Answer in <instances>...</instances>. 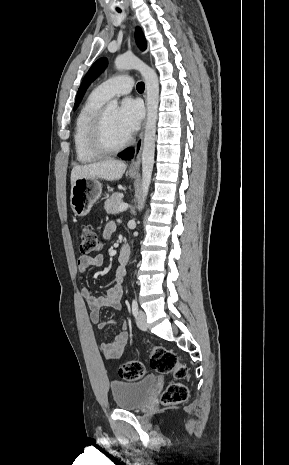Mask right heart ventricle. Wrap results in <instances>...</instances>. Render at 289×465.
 I'll return each instance as SVG.
<instances>
[{
  "instance_id": "right-heart-ventricle-1",
  "label": "right heart ventricle",
  "mask_w": 289,
  "mask_h": 465,
  "mask_svg": "<svg viewBox=\"0 0 289 465\" xmlns=\"http://www.w3.org/2000/svg\"><path fill=\"white\" fill-rule=\"evenodd\" d=\"M107 100L94 90L80 108L74 125L73 144L77 160L89 163L99 159L103 154L96 152L90 145L89 131L93 117Z\"/></svg>"
}]
</instances>
